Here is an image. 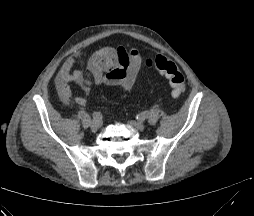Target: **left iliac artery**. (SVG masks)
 <instances>
[{
    "instance_id": "left-iliac-artery-1",
    "label": "left iliac artery",
    "mask_w": 254,
    "mask_h": 216,
    "mask_svg": "<svg viewBox=\"0 0 254 216\" xmlns=\"http://www.w3.org/2000/svg\"><path fill=\"white\" fill-rule=\"evenodd\" d=\"M150 116H151L150 112L145 111V112H143V113L137 115L136 118L139 119V120H145V119L150 118Z\"/></svg>"
}]
</instances>
